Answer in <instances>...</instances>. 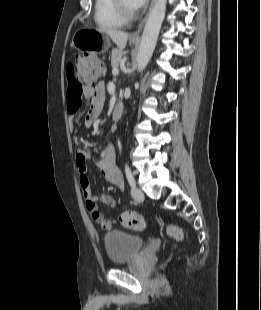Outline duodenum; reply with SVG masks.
<instances>
[{"label": "duodenum", "instance_id": "duodenum-1", "mask_svg": "<svg viewBox=\"0 0 261 310\" xmlns=\"http://www.w3.org/2000/svg\"><path fill=\"white\" fill-rule=\"evenodd\" d=\"M123 103L122 102H117L116 105L114 106V109H113V113H112V116H113V119L115 120H119L122 116V113H123Z\"/></svg>", "mask_w": 261, "mask_h": 310}]
</instances>
